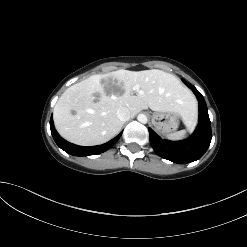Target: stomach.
<instances>
[{"mask_svg": "<svg viewBox=\"0 0 247 247\" xmlns=\"http://www.w3.org/2000/svg\"><path fill=\"white\" fill-rule=\"evenodd\" d=\"M152 124L164 135L174 132L179 127V115L174 112H155L152 116Z\"/></svg>", "mask_w": 247, "mask_h": 247, "instance_id": "0dacf381", "label": "stomach"}]
</instances>
